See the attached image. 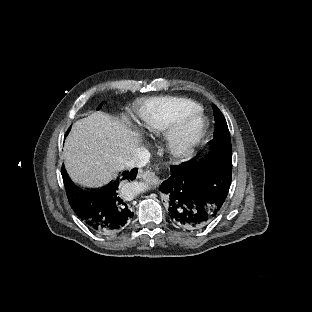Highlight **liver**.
Listing matches in <instances>:
<instances>
[{"label":"liver","mask_w":312,"mask_h":312,"mask_svg":"<svg viewBox=\"0 0 312 312\" xmlns=\"http://www.w3.org/2000/svg\"><path fill=\"white\" fill-rule=\"evenodd\" d=\"M142 146L134 132L102 112L77 121L63 157L72 179L82 186H101L116 177L125 161Z\"/></svg>","instance_id":"1"}]
</instances>
